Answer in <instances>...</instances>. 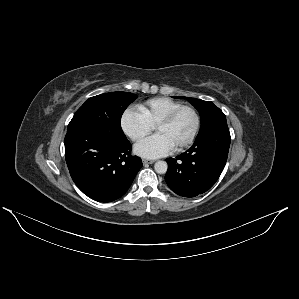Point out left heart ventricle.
Instances as JSON below:
<instances>
[{"label": "left heart ventricle", "instance_id": "left-heart-ventricle-1", "mask_svg": "<svg viewBox=\"0 0 299 299\" xmlns=\"http://www.w3.org/2000/svg\"><path fill=\"white\" fill-rule=\"evenodd\" d=\"M194 126V114L184 110L170 124L158 127L157 132L164 135L175 148L189 138Z\"/></svg>", "mask_w": 299, "mask_h": 299}]
</instances>
